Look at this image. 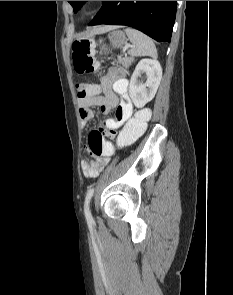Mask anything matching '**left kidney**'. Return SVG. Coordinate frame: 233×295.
Segmentation results:
<instances>
[{
  "instance_id": "left-kidney-1",
  "label": "left kidney",
  "mask_w": 233,
  "mask_h": 295,
  "mask_svg": "<svg viewBox=\"0 0 233 295\" xmlns=\"http://www.w3.org/2000/svg\"><path fill=\"white\" fill-rule=\"evenodd\" d=\"M143 73L145 82L138 80ZM161 78L162 68L157 60L145 58L138 62L129 84V95L135 107L143 108L154 98Z\"/></svg>"
}]
</instances>
